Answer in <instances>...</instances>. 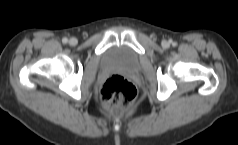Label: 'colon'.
Masks as SVG:
<instances>
[{
  "mask_svg": "<svg viewBox=\"0 0 238 145\" xmlns=\"http://www.w3.org/2000/svg\"><path fill=\"white\" fill-rule=\"evenodd\" d=\"M99 95L108 109L120 112L136 101L137 90L126 78L112 75L101 85Z\"/></svg>",
  "mask_w": 238,
  "mask_h": 145,
  "instance_id": "5ec220e1",
  "label": "colon"
}]
</instances>
